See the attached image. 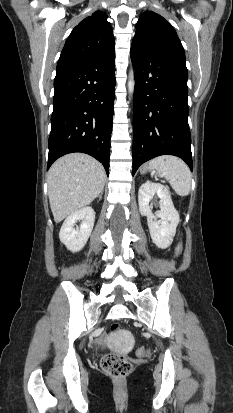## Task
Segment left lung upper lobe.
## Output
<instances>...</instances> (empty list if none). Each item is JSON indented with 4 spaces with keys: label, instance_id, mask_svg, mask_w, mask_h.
I'll use <instances>...</instances> for the list:
<instances>
[{
    "label": "left lung upper lobe",
    "instance_id": "5c2ea615",
    "mask_svg": "<svg viewBox=\"0 0 233 413\" xmlns=\"http://www.w3.org/2000/svg\"><path fill=\"white\" fill-rule=\"evenodd\" d=\"M132 45L138 48L160 52L184 64L183 46L172 25L159 14L146 11L136 24Z\"/></svg>",
    "mask_w": 233,
    "mask_h": 413
}]
</instances>
